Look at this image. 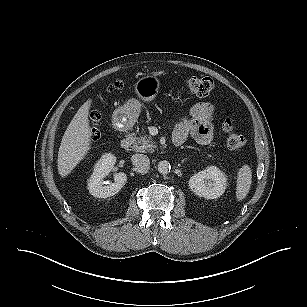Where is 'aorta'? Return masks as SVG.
I'll use <instances>...</instances> for the list:
<instances>
[{
	"instance_id": "1",
	"label": "aorta",
	"mask_w": 307,
	"mask_h": 307,
	"mask_svg": "<svg viewBox=\"0 0 307 307\" xmlns=\"http://www.w3.org/2000/svg\"><path fill=\"white\" fill-rule=\"evenodd\" d=\"M171 170V165L168 161H160L158 163V172L162 175H166L170 172Z\"/></svg>"
}]
</instances>
